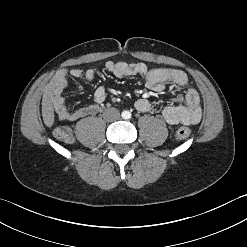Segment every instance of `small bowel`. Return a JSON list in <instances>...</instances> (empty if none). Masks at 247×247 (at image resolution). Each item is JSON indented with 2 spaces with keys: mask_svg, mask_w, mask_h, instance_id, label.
Segmentation results:
<instances>
[{
  "mask_svg": "<svg viewBox=\"0 0 247 247\" xmlns=\"http://www.w3.org/2000/svg\"><path fill=\"white\" fill-rule=\"evenodd\" d=\"M104 71L117 78L140 76L147 88L153 91H163L168 83L176 84L184 89V94L174 99L170 105L161 106L157 112L170 125L184 124L195 125L202 116L200 98L197 91L189 85L187 75L178 69L170 67L149 68L144 63H126L108 61L104 64ZM97 75V70L89 68L62 69L53 79V93L51 101L57 117L62 121H75L80 118L98 113L101 104L105 101L106 91L99 87L94 93V102L87 106L71 110L64 101V90L67 87V78L92 81ZM156 103L148 98H140L135 102V108L143 113L154 109Z\"/></svg>",
  "mask_w": 247,
  "mask_h": 247,
  "instance_id": "obj_1",
  "label": "small bowel"
}]
</instances>
